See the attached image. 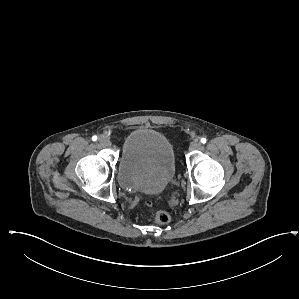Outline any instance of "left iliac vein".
Returning <instances> with one entry per match:
<instances>
[{"label":"left iliac vein","instance_id":"4c4485c4","mask_svg":"<svg viewBox=\"0 0 299 299\" xmlns=\"http://www.w3.org/2000/svg\"><path fill=\"white\" fill-rule=\"evenodd\" d=\"M201 148V143L199 142V141H193V142H191V144H190V146H189V149L191 150V151H194V150H198V149H200Z\"/></svg>","mask_w":299,"mask_h":299}]
</instances>
